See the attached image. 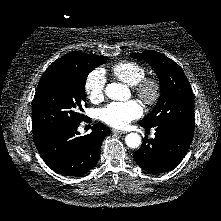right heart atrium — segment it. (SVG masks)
Masks as SVG:
<instances>
[{
  "instance_id": "right-heart-atrium-1",
  "label": "right heart atrium",
  "mask_w": 221,
  "mask_h": 221,
  "mask_svg": "<svg viewBox=\"0 0 221 221\" xmlns=\"http://www.w3.org/2000/svg\"><path fill=\"white\" fill-rule=\"evenodd\" d=\"M106 88V76L102 69L97 68L91 71L84 84V90L88 99L93 103L103 100Z\"/></svg>"
}]
</instances>
